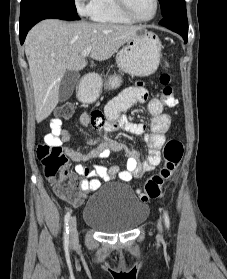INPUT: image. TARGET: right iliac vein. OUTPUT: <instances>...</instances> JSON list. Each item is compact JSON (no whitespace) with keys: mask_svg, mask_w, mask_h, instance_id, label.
<instances>
[{"mask_svg":"<svg viewBox=\"0 0 227 279\" xmlns=\"http://www.w3.org/2000/svg\"><path fill=\"white\" fill-rule=\"evenodd\" d=\"M70 240L74 244L78 240L76 217H72L69 221Z\"/></svg>","mask_w":227,"mask_h":279,"instance_id":"obj_1","label":"right iliac vein"}]
</instances>
